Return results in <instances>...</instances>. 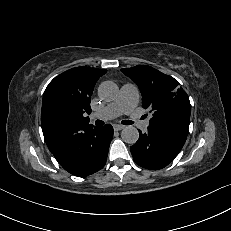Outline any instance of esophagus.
Instances as JSON below:
<instances>
[{
    "mask_svg": "<svg viewBox=\"0 0 231 231\" xmlns=\"http://www.w3.org/2000/svg\"><path fill=\"white\" fill-rule=\"evenodd\" d=\"M113 128H114L115 131H120V130H122L124 128V126L120 125V124H115L113 126Z\"/></svg>",
    "mask_w": 231,
    "mask_h": 231,
    "instance_id": "34e87169",
    "label": "esophagus"
}]
</instances>
